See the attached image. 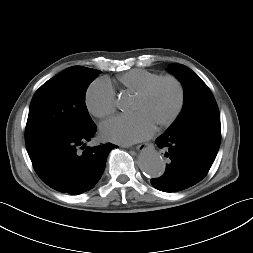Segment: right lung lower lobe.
<instances>
[{
  "instance_id": "right-lung-lower-lobe-1",
  "label": "right lung lower lobe",
  "mask_w": 253,
  "mask_h": 253,
  "mask_svg": "<svg viewBox=\"0 0 253 253\" xmlns=\"http://www.w3.org/2000/svg\"><path fill=\"white\" fill-rule=\"evenodd\" d=\"M96 126L71 137L58 139L29 154L33 167L51 188L78 195L93 188L101 178L109 152L116 146L107 143L86 147ZM84 149V150H81Z\"/></svg>"
}]
</instances>
